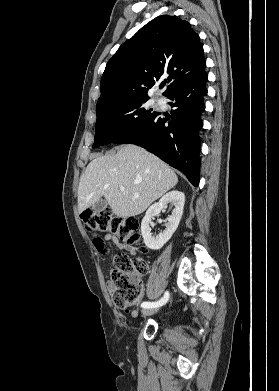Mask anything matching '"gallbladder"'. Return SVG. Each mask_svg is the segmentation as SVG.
<instances>
[{
  "label": "gallbladder",
  "mask_w": 279,
  "mask_h": 391,
  "mask_svg": "<svg viewBox=\"0 0 279 391\" xmlns=\"http://www.w3.org/2000/svg\"><path fill=\"white\" fill-rule=\"evenodd\" d=\"M107 207V202L105 200H100L92 206L94 213L103 211Z\"/></svg>",
  "instance_id": "1"
}]
</instances>
